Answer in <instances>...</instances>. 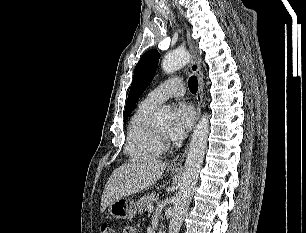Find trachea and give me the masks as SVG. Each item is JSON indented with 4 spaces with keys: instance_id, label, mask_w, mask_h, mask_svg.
I'll return each mask as SVG.
<instances>
[{
    "instance_id": "3493384b",
    "label": "trachea",
    "mask_w": 306,
    "mask_h": 233,
    "mask_svg": "<svg viewBox=\"0 0 306 233\" xmlns=\"http://www.w3.org/2000/svg\"><path fill=\"white\" fill-rule=\"evenodd\" d=\"M188 85H189V90L192 93H196L198 90V80L195 76L190 77L189 81H188Z\"/></svg>"
}]
</instances>
